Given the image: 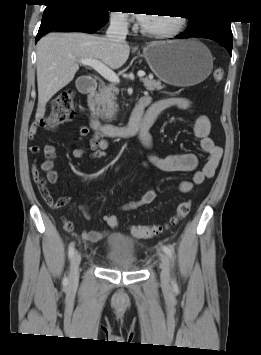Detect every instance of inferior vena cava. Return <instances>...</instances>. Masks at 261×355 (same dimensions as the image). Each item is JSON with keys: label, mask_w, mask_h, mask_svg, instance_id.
I'll return each instance as SVG.
<instances>
[{"label": "inferior vena cava", "mask_w": 261, "mask_h": 355, "mask_svg": "<svg viewBox=\"0 0 261 355\" xmlns=\"http://www.w3.org/2000/svg\"><path fill=\"white\" fill-rule=\"evenodd\" d=\"M127 34L128 23L126 19L119 15H112L106 38L113 44H121L125 42Z\"/></svg>", "instance_id": "1"}]
</instances>
